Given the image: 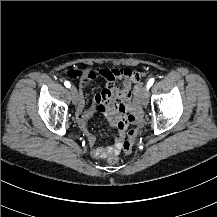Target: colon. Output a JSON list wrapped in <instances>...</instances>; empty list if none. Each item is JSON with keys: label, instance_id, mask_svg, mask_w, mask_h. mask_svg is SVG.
<instances>
[{"label": "colon", "instance_id": "obj_1", "mask_svg": "<svg viewBox=\"0 0 217 217\" xmlns=\"http://www.w3.org/2000/svg\"><path fill=\"white\" fill-rule=\"evenodd\" d=\"M81 71L80 70H74L69 72L68 77L71 80H77L80 76H81ZM145 84L142 83H136V85H133V88L131 89L133 92L135 91H142L144 88ZM129 120L132 122V127L129 131H128V137L127 140L125 141V143L123 144V152L127 155H130L132 153V145L136 140V134L138 132V127H139V122L137 121V118L134 115H131L129 117ZM107 162L108 163H113V164H118L119 163V158L115 157V156H108L107 157Z\"/></svg>", "mask_w": 217, "mask_h": 217}]
</instances>
